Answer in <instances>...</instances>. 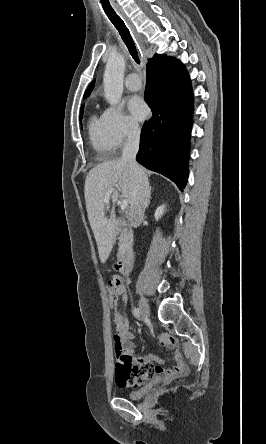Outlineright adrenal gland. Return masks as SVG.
<instances>
[{"label":"right adrenal gland","mask_w":266,"mask_h":444,"mask_svg":"<svg viewBox=\"0 0 266 444\" xmlns=\"http://www.w3.org/2000/svg\"><path fill=\"white\" fill-rule=\"evenodd\" d=\"M150 199H151V187L149 188V203H148V205L150 204Z\"/></svg>","instance_id":"obj_1"}]
</instances>
